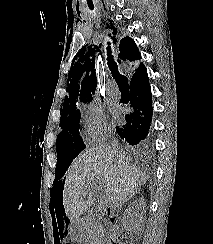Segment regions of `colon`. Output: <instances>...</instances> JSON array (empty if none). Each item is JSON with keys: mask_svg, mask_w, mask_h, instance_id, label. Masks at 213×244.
<instances>
[{"mask_svg": "<svg viewBox=\"0 0 213 244\" xmlns=\"http://www.w3.org/2000/svg\"><path fill=\"white\" fill-rule=\"evenodd\" d=\"M65 244H72L71 242H66Z\"/></svg>", "mask_w": 213, "mask_h": 244, "instance_id": "obj_1", "label": "colon"}]
</instances>
